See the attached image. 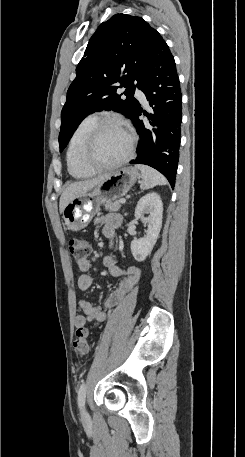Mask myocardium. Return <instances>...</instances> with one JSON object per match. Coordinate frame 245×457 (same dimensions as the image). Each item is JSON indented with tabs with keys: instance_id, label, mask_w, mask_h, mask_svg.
<instances>
[{
	"instance_id": "f54148a6",
	"label": "myocardium",
	"mask_w": 245,
	"mask_h": 457,
	"mask_svg": "<svg viewBox=\"0 0 245 457\" xmlns=\"http://www.w3.org/2000/svg\"><path fill=\"white\" fill-rule=\"evenodd\" d=\"M110 127L118 128L122 130L129 138V145L126 151L112 162L103 166H93L86 158L88 150L97 143L101 133ZM136 146V136L129 126L117 119H103L97 121V123L89 131L86 141L79 152L78 162L80 166L88 171L89 173H98L105 170L115 169L122 164L126 163L132 156Z\"/></svg>"
}]
</instances>
